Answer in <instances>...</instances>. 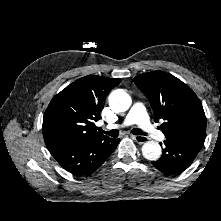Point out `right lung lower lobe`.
Segmentation results:
<instances>
[{
	"mask_svg": "<svg viewBox=\"0 0 221 221\" xmlns=\"http://www.w3.org/2000/svg\"><path fill=\"white\" fill-rule=\"evenodd\" d=\"M119 139L104 137L49 150L58 163L77 176H88L96 171L115 150Z\"/></svg>",
	"mask_w": 221,
	"mask_h": 221,
	"instance_id": "obj_1",
	"label": "right lung lower lobe"
}]
</instances>
